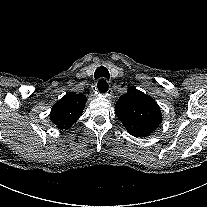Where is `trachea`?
Returning a JSON list of instances; mask_svg holds the SVG:
<instances>
[{"mask_svg": "<svg viewBox=\"0 0 207 207\" xmlns=\"http://www.w3.org/2000/svg\"><path fill=\"white\" fill-rule=\"evenodd\" d=\"M109 76H110L109 71L104 66L98 67L94 73L95 79L100 78V77H104V78L109 79ZM101 81L102 80L98 81L97 87L101 93H105L108 90V83L101 82Z\"/></svg>", "mask_w": 207, "mask_h": 207, "instance_id": "obj_1", "label": "trachea"}]
</instances>
